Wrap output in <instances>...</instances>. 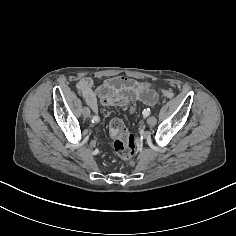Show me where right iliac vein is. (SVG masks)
<instances>
[{
  "label": "right iliac vein",
  "mask_w": 236,
  "mask_h": 236,
  "mask_svg": "<svg viewBox=\"0 0 236 236\" xmlns=\"http://www.w3.org/2000/svg\"><path fill=\"white\" fill-rule=\"evenodd\" d=\"M82 114L84 117H89L90 116V110L88 107H83L82 108Z\"/></svg>",
  "instance_id": "right-iliac-vein-1"
}]
</instances>
